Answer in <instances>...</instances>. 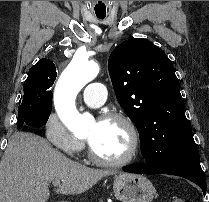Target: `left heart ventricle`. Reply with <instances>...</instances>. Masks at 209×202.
Here are the masks:
<instances>
[{"label": "left heart ventricle", "instance_id": "1", "mask_svg": "<svg viewBox=\"0 0 209 202\" xmlns=\"http://www.w3.org/2000/svg\"><path fill=\"white\" fill-rule=\"evenodd\" d=\"M86 138L100 156L110 160L125 157L131 148L130 134L118 121L94 122Z\"/></svg>", "mask_w": 209, "mask_h": 202}]
</instances>
